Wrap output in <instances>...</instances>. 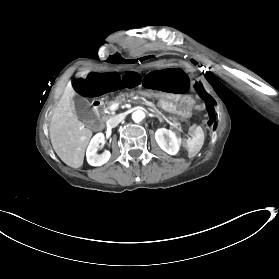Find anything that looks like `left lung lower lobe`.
Instances as JSON below:
<instances>
[{"instance_id":"left-lung-lower-lobe-1","label":"left lung lower lobe","mask_w":279,"mask_h":279,"mask_svg":"<svg viewBox=\"0 0 279 279\" xmlns=\"http://www.w3.org/2000/svg\"><path fill=\"white\" fill-rule=\"evenodd\" d=\"M195 88L199 92V94L203 96V94H202V92L200 90V87H199V85L197 83L195 84ZM206 102H207V110H208L209 116H210L208 124L211 125L214 122L215 118H216L215 117V112L213 110L214 102H213V100H208V99H206Z\"/></svg>"}]
</instances>
